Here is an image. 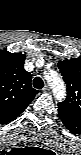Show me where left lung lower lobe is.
I'll list each match as a JSON object with an SVG mask.
<instances>
[{"label": "left lung lower lobe", "mask_w": 81, "mask_h": 155, "mask_svg": "<svg viewBox=\"0 0 81 155\" xmlns=\"http://www.w3.org/2000/svg\"><path fill=\"white\" fill-rule=\"evenodd\" d=\"M59 116L69 131L75 134L81 133V120L72 118L62 112H59Z\"/></svg>", "instance_id": "obj_1"}]
</instances>
